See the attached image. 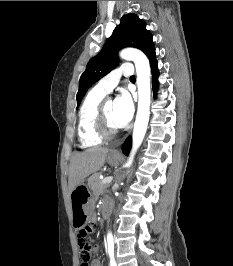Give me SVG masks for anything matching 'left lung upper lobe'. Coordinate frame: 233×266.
<instances>
[{"label":"left lung upper lobe","mask_w":233,"mask_h":266,"mask_svg":"<svg viewBox=\"0 0 233 266\" xmlns=\"http://www.w3.org/2000/svg\"><path fill=\"white\" fill-rule=\"evenodd\" d=\"M124 47H135L145 54L154 48L152 34L146 30V23L132 13L121 18L102 50L88 62L79 81L77 108L86 91L116 67L118 51Z\"/></svg>","instance_id":"obj_1"}]
</instances>
